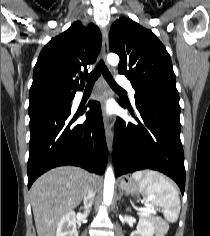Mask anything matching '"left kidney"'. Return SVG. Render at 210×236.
<instances>
[{"instance_id": "1", "label": "left kidney", "mask_w": 210, "mask_h": 236, "mask_svg": "<svg viewBox=\"0 0 210 236\" xmlns=\"http://www.w3.org/2000/svg\"><path fill=\"white\" fill-rule=\"evenodd\" d=\"M154 233V222L145 214H142L137 225V230L132 232L130 236H153Z\"/></svg>"}]
</instances>
